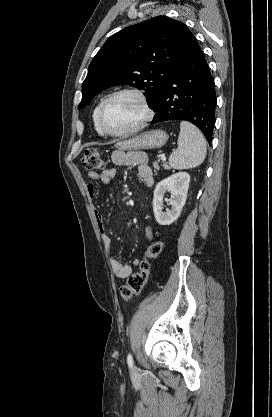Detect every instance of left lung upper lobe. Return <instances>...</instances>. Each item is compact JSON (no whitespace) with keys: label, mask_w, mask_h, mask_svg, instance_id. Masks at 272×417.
I'll list each match as a JSON object with an SVG mask.
<instances>
[{"label":"left lung upper lobe","mask_w":272,"mask_h":417,"mask_svg":"<svg viewBox=\"0 0 272 417\" xmlns=\"http://www.w3.org/2000/svg\"><path fill=\"white\" fill-rule=\"evenodd\" d=\"M199 49L185 24L165 16L127 27L111 36L90 63L79 109L101 89L124 84L145 90L154 109L167 80Z\"/></svg>","instance_id":"5c2ea615"}]
</instances>
